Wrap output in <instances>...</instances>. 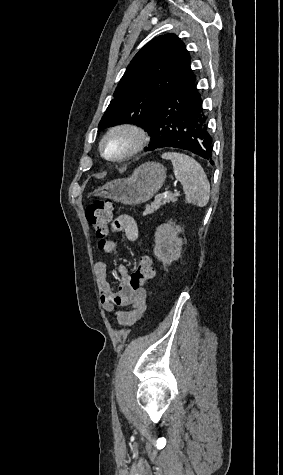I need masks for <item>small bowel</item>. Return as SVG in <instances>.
Masks as SVG:
<instances>
[{"label": "small bowel", "mask_w": 283, "mask_h": 475, "mask_svg": "<svg viewBox=\"0 0 283 475\" xmlns=\"http://www.w3.org/2000/svg\"><path fill=\"white\" fill-rule=\"evenodd\" d=\"M107 228L109 231L123 232L128 242H134L138 238L137 223L129 215L118 216L114 223L109 224ZM116 247L117 242L109 241L105 245V252L110 253ZM117 269L121 283L118 290L115 291L107 280V264L103 261L96 262L94 265L96 285L102 307L106 312L115 314V318L111 319L112 323L120 327H129L136 324L147 310L149 294L148 290L135 291L134 294H129L128 283L131 273L121 264L118 265Z\"/></svg>", "instance_id": "obj_1"}]
</instances>
